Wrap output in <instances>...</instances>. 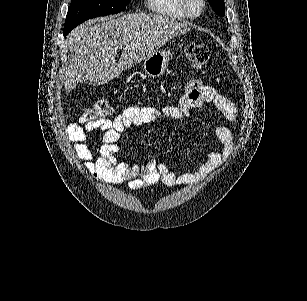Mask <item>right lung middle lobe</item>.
I'll list each match as a JSON object with an SVG mask.
<instances>
[{
  "mask_svg": "<svg viewBox=\"0 0 307 301\" xmlns=\"http://www.w3.org/2000/svg\"><path fill=\"white\" fill-rule=\"evenodd\" d=\"M131 0H71L63 34L66 36L77 25L87 19L125 10Z\"/></svg>",
  "mask_w": 307,
  "mask_h": 301,
  "instance_id": "right-lung-middle-lobe-1",
  "label": "right lung middle lobe"
}]
</instances>
